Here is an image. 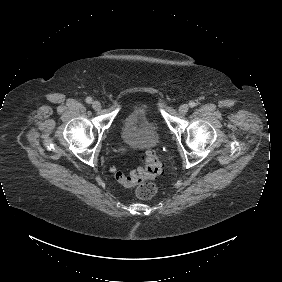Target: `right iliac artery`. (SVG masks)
Here are the masks:
<instances>
[{"label": "right iliac artery", "mask_w": 282, "mask_h": 282, "mask_svg": "<svg viewBox=\"0 0 282 282\" xmlns=\"http://www.w3.org/2000/svg\"><path fill=\"white\" fill-rule=\"evenodd\" d=\"M86 102H87L88 104H91V103H92V98H91V97H87V98H86Z\"/></svg>", "instance_id": "1"}]
</instances>
